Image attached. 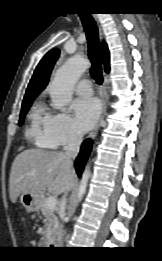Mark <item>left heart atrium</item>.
<instances>
[{
    "label": "left heart atrium",
    "mask_w": 162,
    "mask_h": 261,
    "mask_svg": "<svg viewBox=\"0 0 162 261\" xmlns=\"http://www.w3.org/2000/svg\"><path fill=\"white\" fill-rule=\"evenodd\" d=\"M76 127L88 131L95 123L99 114V104L95 98H78L72 104Z\"/></svg>",
    "instance_id": "left-heart-atrium-1"
}]
</instances>
